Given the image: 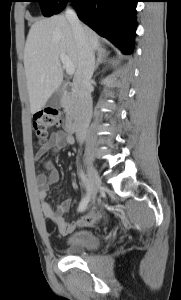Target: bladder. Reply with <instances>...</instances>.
<instances>
[{"label":"bladder","mask_w":181,"mask_h":300,"mask_svg":"<svg viewBox=\"0 0 181 300\" xmlns=\"http://www.w3.org/2000/svg\"><path fill=\"white\" fill-rule=\"evenodd\" d=\"M66 245L71 253H82L85 250L98 248L100 239L98 235L91 230H77L69 235Z\"/></svg>","instance_id":"31cf9c89"}]
</instances>
